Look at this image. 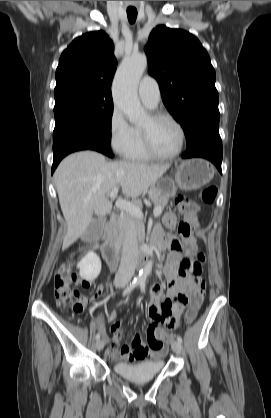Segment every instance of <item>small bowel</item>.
Returning <instances> with one entry per match:
<instances>
[{"label": "small bowel", "mask_w": 271, "mask_h": 418, "mask_svg": "<svg viewBox=\"0 0 271 418\" xmlns=\"http://www.w3.org/2000/svg\"><path fill=\"white\" fill-rule=\"evenodd\" d=\"M166 224L173 227L174 217L168 216ZM180 258V252L171 251L164 265L163 273L167 281L166 297H164L160 285H155L152 288L151 300L147 308L150 325L147 330L146 342L138 335H134L130 346L120 345L123 337L121 322L114 313L109 316L113 335L105 354L108 359L143 362L148 359L161 358L165 354L164 341L168 338V333L163 326L169 330L178 326V320L187 304L188 295L195 294L201 281V278L180 274L178 269ZM90 284L88 281H77V285L83 288L89 287ZM97 296L98 292H94L91 297ZM104 341H108L107 336H104Z\"/></svg>", "instance_id": "small-bowel-1"}]
</instances>
